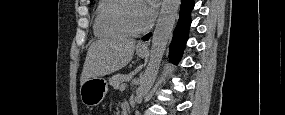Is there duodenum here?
<instances>
[{"mask_svg":"<svg viewBox=\"0 0 285 115\" xmlns=\"http://www.w3.org/2000/svg\"><path fill=\"white\" fill-rule=\"evenodd\" d=\"M125 110H126V107L123 108V111H125ZM123 113L126 114L125 112H123Z\"/></svg>","mask_w":285,"mask_h":115,"instance_id":"1","label":"duodenum"}]
</instances>
